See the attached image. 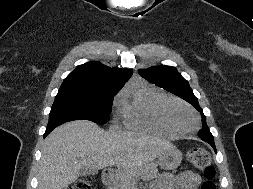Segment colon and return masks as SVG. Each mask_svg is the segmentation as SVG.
Returning <instances> with one entry per match:
<instances>
[{"label": "colon", "instance_id": "1", "mask_svg": "<svg viewBox=\"0 0 253 189\" xmlns=\"http://www.w3.org/2000/svg\"><path fill=\"white\" fill-rule=\"evenodd\" d=\"M188 161L194 168L204 173L206 180L201 189H216L215 168L211 164L209 153L203 148H194L188 153ZM67 189H92V181L89 177H83L72 183Z\"/></svg>", "mask_w": 253, "mask_h": 189}]
</instances>
